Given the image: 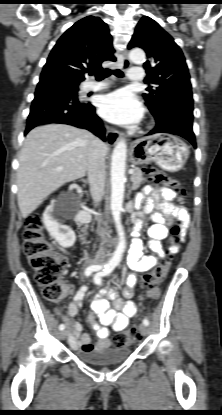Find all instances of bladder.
<instances>
[{"instance_id": "bladder-1", "label": "bladder", "mask_w": 222, "mask_h": 415, "mask_svg": "<svg viewBox=\"0 0 222 415\" xmlns=\"http://www.w3.org/2000/svg\"><path fill=\"white\" fill-rule=\"evenodd\" d=\"M132 354L130 348L118 347L103 351H83L79 350L74 356L81 362L93 366H109L122 363Z\"/></svg>"}]
</instances>
